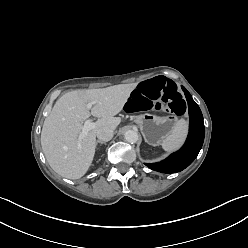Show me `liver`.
<instances>
[{
    "mask_svg": "<svg viewBox=\"0 0 248 248\" xmlns=\"http://www.w3.org/2000/svg\"><path fill=\"white\" fill-rule=\"evenodd\" d=\"M137 83L99 89H78L65 93L46 117L41 146L50 167L62 177L79 179L90 168L96 149V133L102 127L113 130L121 119L115 117L127 102ZM94 103L91 111L87 103ZM97 117L96 127L79 142L83 122Z\"/></svg>",
    "mask_w": 248,
    "mask_h": 248,
    "instance_id": "6515ba94",
    "label": "liver"
}]
</instances>
